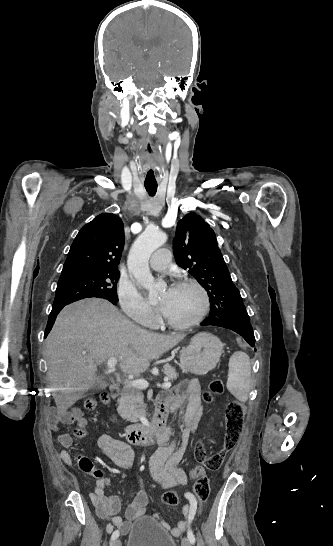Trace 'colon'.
Wrapping results in <instances>:
<instances>
[{
    "mask_svg": "<svg viewBox=\"0 0 333 546\" xmlns=\"http://www.w3.org/2000/svg\"><path fill=\"white\" fill-rule=\"evenodd\" d=\"M224 391V385L220 380H213L209 384L207 391L203 392L202 400L206 403L212 401L215 395H220ZM110 394L108 391H102L100 394V400L103 403L110 401ZM97 406V401L94 398H88L84 402V408L86 410H94ZM245 409L244 406L238 401L230 402L225 411V436L221 449L208 454L206 452L205 445L202 441H199L195 447V457L199 462V465L191 470V473L195 476V482L193 486V495L197 502H205L209 496L210 485L207 475V471L219 470L229 452H231L237 445L244 423ZM75 435L82 437L85 435L83 428L75 430ZM163 503L167 506H176L179 502V496L173 491H169L162 496Z\"/></svg>",
    "mask_w": 333,
    "mask_h": 546,
    "instance_id": "colon-1",
    "label": "colon"
}]
</instances>
